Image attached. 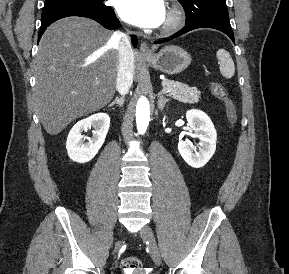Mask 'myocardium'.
I'll return each instance as SVG.
<instances>
[{
	"label": "myocardium",
	"mask_w": 289,
	"mask_h": 274,
	"mask_svg": "<svg viewBox=\"0 0 289 274\" xmlns=\"http://www.w3.org/2000/svg\"><path fill=\"white\" fill-rule=\"evenodd\" d=\"M184 23V11L177 4L168 7L166 20L160 28V32L169 35L178 31Z\"/></svg>",
	"instance_id": "f54148a6"
}]
</instances>
